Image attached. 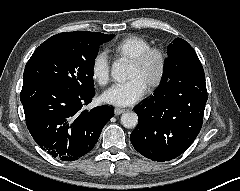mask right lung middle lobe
Here are the masks:
<instances>
[{
	"label": "right lung middle lobe",
	"mask_w": 240,
	"mask_h": 191,
	"mask_svg": "<svg viewBox=\"0 0 240 191\" xmlns=\"http://www.w3.org/2000/svg\"><path fill=\"white\" fill-rule=\"evenodd\" d=\"M113 37L94 40L50 37L27 62L23 84H52L77 94L94 91L93 68L99 45Z\"/></svg>",
	"instance_id": "1"
}]
</instances>
